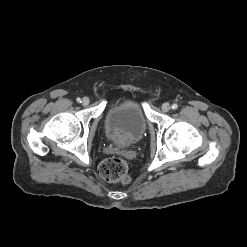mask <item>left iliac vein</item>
I'll list each match as a JSON object with an SVG mask.
<instances>
[{"instance_id": "1", "label": "left iliac vein", "mask_w": 247, "mask_h": 247, "mask_svg": "<svg viewBox=\"0 0 247 247\" xmlns=\"http://www.w3.org/2000/svg\"><path fill=\"white\" fill-rule=\"evenodd\" d=\"M161 108L163 112H168L171 109V106L169 103H164Z\"/></svg>"}]
</instances>
